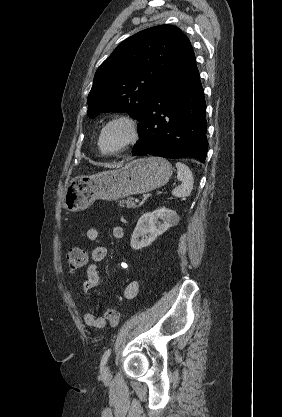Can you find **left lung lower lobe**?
Returning <instances> with one entry per match:
<instances>
[{"label": "left lung lower lobe", "mask_w": 282, "mask_h": 417, "mask_svg": "<svg viewBox=\"0 0 282 417\" xmlns=\"http://www.w3.org/2000/svg\"><path fill=\"white\" fill-rule=\"evenodd\" d=\"M142 112L133 156L205 162L206 103L191 45L167 71Z\"/></svg>", "instance_id": "1"}]
</instances>
